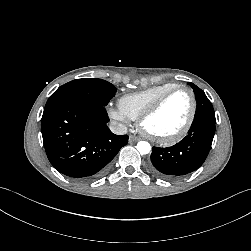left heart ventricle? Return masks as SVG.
<instances>
[{
  "label": "left heart ventricle",
  "mask_w": 251,
  "mask_h": 251,
  "mask_svg": "<svg viewBox=\"0 0 251 251\" xmlns=\"http://www.w3.org/2000/svg\"><path fill=\"white\" fill-rule=\"evenodd\" d=\"M191 111V97L185 90L172 94L156 114L146 120L145 129L157 137L176 133L187 121Z\"/></svg>",
  "instance_id": "b2bd125f"
}]
</instances>
